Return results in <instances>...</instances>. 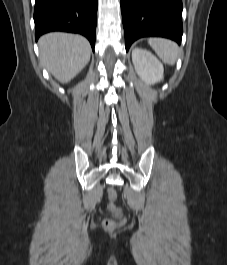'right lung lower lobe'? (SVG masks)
<instances>
[{"mask_svg":"<svg viewBox=\"0 0 227 265\" xmlns=\"http://www.w3.org/2000/svg\"><path fill=\"white\" fill-rule=\"evenodd\" d=\"M98 0H36L35 38L50 31L84 35L95 46Z\"/></svg>","mask_w":227,"mask_h":265,"instance_id":"1","label":"right lung lower lobe"}]
</instances>
